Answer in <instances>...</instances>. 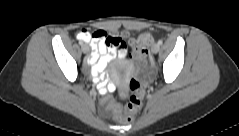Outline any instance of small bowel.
I'll return each instance as SVG.
<instances>
[{
    "label": "small bowel",
    "instance_id": "1",
    "mask_svg": "<svg viewBox=\"0 0 239 136\" xmlns=\"http://www.w3.org/2000/svg\"><path fill=\"white\" fill-rule=\"evenodd\" d=\"M98 32L103 33V35L98 36ZM124 35H127V33H124ZM78 38L92 46L93 52L89 57L88 63L92 66L91 73L94 78H99L102 75L107 63L115 57L117 53L122 57L127 53L125 48L118 50V47L107 45L105 42L106 33L103 31H97L94 33L86 32V35L81 32L78 34ZM101 87L105 91L110 92L113 89V84L111 82L103 81ZM103 104L111 110H113L115 106L114 101L108 96L104 98Z\"/></svg>",
    "mask_w": 239,
    "mask_h": 136
}]
</instances>
